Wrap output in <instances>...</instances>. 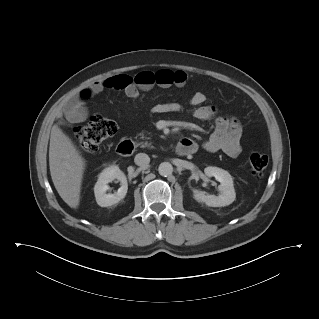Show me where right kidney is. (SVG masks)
Returning a JSON list of instances; mask_svg holds the SVG:
<instances>
[{
	"label": "right kidney",
	"instance_id": "ca27d5eb",
	"mask_svg": "<svg viewBox=\"0 0 319 319\" xmlns=\"http://www.w3.org/2000/svg\"><path fill=\"white\" fill-rule=\"evenodd\" d=\"M115 179L120 181L121 187L114 194H106V191L109 189L108 183ZM127 190L128 183L125 174L118 166L111 165L99 174L98 181L94 187L96 202L101 207L112 206L125 197Z\"/></svg>",
	"mask_w": 319,
	"mask_h": 319
}]
</instances>
